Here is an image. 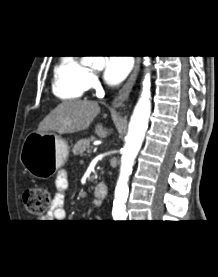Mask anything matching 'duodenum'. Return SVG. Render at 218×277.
I'll use <instances>...</instances> for the list:
<instances>
[{
  "label": "duodenum",
  "mask_w": 218,
  "mask_h": 277,
  "mask_svg": "<svg viewBox=\"0 0 218 277\" xmlns=\"http://www.w3.org/2000/svg\"><path fill=\"white\" fill-rule=\"evenodd\" d=\"M107 193H108V187L105 183L100 182L95 185L94 195L98 201L105 199L107 196Z\"/></svg>",
  "instance_id": "obj_1"
}]
</instances>
